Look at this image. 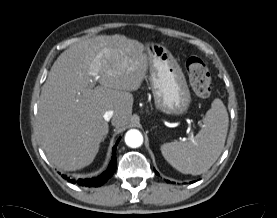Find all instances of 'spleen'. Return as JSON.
I'll return each instance as SVG.
<instances>
[{"label":"spleen","instance_id":"1","mask_svg":"<svg viewBox=\"0 0 277 218\" xmlns=\"http://www.w3.org/2000/svg\"><path fill=\"white\" fill-rule=\"evenodd\" d=\"M229 118L225 105L216 98L203 118V128L187 142L174 141L161 145L165 160L183 174L205 173L220 156L227 132Z\"/></svg>","mask_w":277,"mask_h":218}]
</instances>
